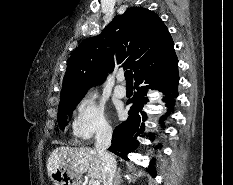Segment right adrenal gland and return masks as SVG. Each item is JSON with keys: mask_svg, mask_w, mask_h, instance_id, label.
Masks as SVG:
<instances>
[{"mask_svg": "<svg viewBox=\"0 0 233 185\" xmlns=\"http://www.w3.org/2000/svg\"><path fill=\"white\" fill-rule=\"evenodd\" d=\"M121 176H120V168H118L117 172H116V176H115V180H114V184L113 185H119L120 181H121Z\"/></svg>", "mask_w": 233, "mask_h": 185, "instance_id": "1", "label": "right adrenal gland"}]
</instances>
